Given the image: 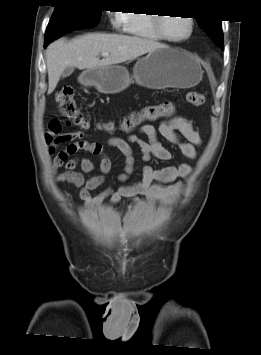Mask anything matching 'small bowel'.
<instances>
[{
  "label": "small bowel",
  "mask_w": 261,
  "mask_h": 355,
  "mask_svg": "<svg viewBox=\"0 0 261 355\" xmlns=\"http://www.w3.org/2000/svg\"><path fill=\"white\" fill-rule=\"evenodd\" d=\"M60 127V124H59ZM145 136L147 140L140 138ZM163 138L177 148L183 156L194 159L197 156L196 146L201 143V137L193 124L182 116H174L163 121L158 127L144 125L139 135H130L127 138L118 136L107 140V145L117 149L125 158L124 172L118 176L121 185L109 187L93 196L91 192L100 187L105 174L112 167L110 158L105 153V146L101 142H91L87 135L81 131L60 133L51 127L44 135V141L50 156H54V170L64 167L65 171L55 175L57 183L71 184L80 189L79 197L89 210H98L106 199L113 205L118 204L123 198H130L134 203L147 204H172L178 200L183 184L179 178L187 177L191 173L188 164L155 168L149 164L152 157L163 161L172 159V153L161 142ZM131 144L139 147L141 159L145 162L142 167L141 181L124 185L134 172L135 157ZM65 148L58 151V147ZM79 151H87L99 158L96 166L87 158H72ZM81 171H76V168ZM98 173L89 179L84 173ZM164 183V185L157 184ZM67 200H71L68 193H64Z\"/></svg>",
  "instance_id": "1"
}]
</instances>
